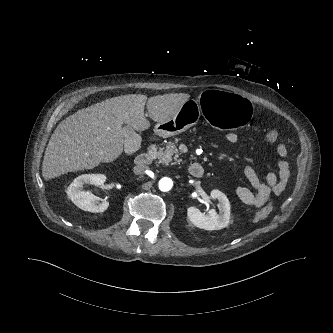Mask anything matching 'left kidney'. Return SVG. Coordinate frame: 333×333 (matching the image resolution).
Here are the masks:
<instances>
[{
	"label": "left kidney",
	"mask_w": 333,
	"mask_h": 333,
	"mask_svg": "<svg viewBox=\"0 0 333 333\" xmlns=\"http://www.w3.org/2000/svg\"><path fill=\"white\" fill-rule=\"evenodd\" d=\"M211 197L219 201L221 214H217L215 209H210L205 215L196 207H189L187 210L188 219L193 225L205 230H220L230 223V203L227 196L219 190H212Z\"/></svg>",
	"instance_id": "5707ae66"
}]
</instances>
